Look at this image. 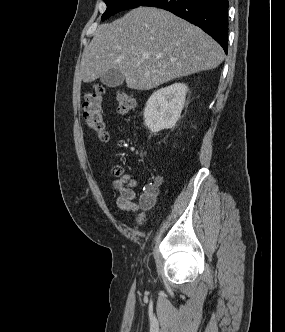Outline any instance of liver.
I'll use <instances>...</instances> for the list:
<instances>
[{"label": "liver", "mask_w": 285, "mask_h": 332, "mask_svg": "<svg viewBox=\"0 0 285 332\" xmlns=\"http://www.w3.org/2000/svg\"><path fill=\"white\" fill-rule=\"evenodd\" d=\"M223 59L221 46L199 27L163 9L138 7L98 26L83 51L80 76L90 83L115 69L128 88L150 90L215 69Z\"/></svg>", "instance_id": "obj_1"}]
</instances>
